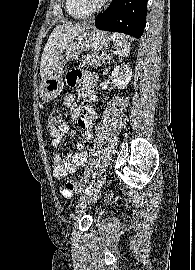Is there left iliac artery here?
I'll return each mask as SVG.
<instances>
[{
  "label": "left iliac artery",
  "instance_id": "obj_1",
  "mask_svg": "<svg viewBox=\"0 0 195 270\" xmlns=\"http://www.w3.org/2000/svg\"><path fill=\"white\" fill-rule=\"evenodd\" d=\"M94 183H95V181L92 180V182L85 188L84 194H86V193H88L90 191V189L92 188Z\"/></svg>",
  "mask_w": 195,
  "mask_h": 270
}]
</instances>
